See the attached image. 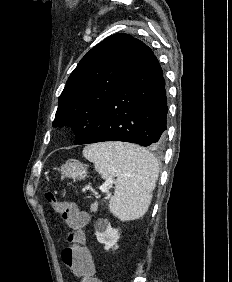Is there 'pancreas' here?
I'll list each match as a JSON object with an SVG mask.
<instances>
[{
    "instance_id": "pancreas-1",
    "label": "pancreas",
    "mask_w": 232,
    "mask_h": 282,
    "mask_svg": "<svg viewBox=\"0 0 232 282\" xmlns=\"http://www.w3.org/2000/svg\"><path fill=\"white\" fill-rule=\"evenodd\" d=\"M98 205H99L98 202L92 203V204H91V208H90L91 211H92V212H96L97 209H98Z\"/></svg>"
}]
</instances>
